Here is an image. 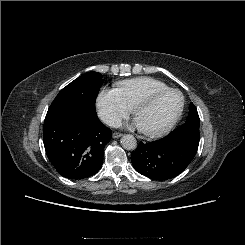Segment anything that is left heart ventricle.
<instances>
[{
    "instance_id": "1",
    "label": "left heart ventricle",
    "mask_w": 245,
    "mask_h": 245,
    "mask_svg": "<svg viewBox=\"0 0 245 245\" xmlns=\"http://www.w3.org/2000/svg\"><path fill=\"white\" fill-rule=\"evenodd\" d=\"M180 105L181 98L178 93H167L156 98L148 105L140 107L135 120L141 130H158L174 117Z\"/></svg>"
}]
</instances>
